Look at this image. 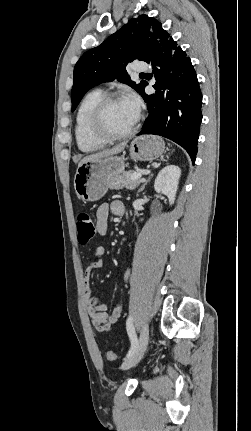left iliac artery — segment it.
Returning <instances> with one entry per match:
<instances>
[{"label":"left iliac artery","instance_id":"44dca946","mask_svg":"<svg viewBox=\"0 0 251 431\" xmlns=\"http://www.w3.org/2000/svg\"><path fill=\"white\" fill-rule=\"evenodd\" d=\"M126 329L131 341V347L127 354V357H129L136 350L138 345V339L133 325V317L131 315L127 318Z\"/></svg>","mask_w":251,"mask_h":431}]
</instances>
